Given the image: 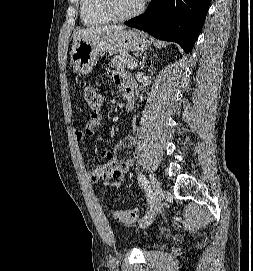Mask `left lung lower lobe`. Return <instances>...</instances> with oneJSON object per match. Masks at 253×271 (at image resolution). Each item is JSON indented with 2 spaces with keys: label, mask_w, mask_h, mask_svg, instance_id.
Listing matches in <instances>:
<instances>
[{
  "label": "left lung lower lobe",
  "mask_w": 253,
  "mask_h": 271,
  "mask_svg": "<svg viewBox=\"0 0 253 271\" xmlns=\"http://www.w3.org/2000/svg\"><path fill=\"white\" fill-rule=\"evenodd\" d=\"M210 0H152L147 11L127 26L178 43L189 53L204 24Z\"/></svg>",
  "instance_id": "1"
}]
</instances>
